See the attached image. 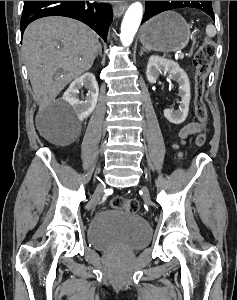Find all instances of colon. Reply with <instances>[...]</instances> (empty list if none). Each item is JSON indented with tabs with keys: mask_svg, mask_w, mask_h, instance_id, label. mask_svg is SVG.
<instances>
[{
	"mask_svg": "<svg viewBox=\"0 0 237 300\" xmlns=\"http://www.w3.org/2000/svg\"><path fill=\"white\" fill-rule=\"evenodd\" d=\"M216 54L215 43L210 38H205L194 56L195 74V112L201 124V131L195 139L197 147L204 145L206 141V123H207V107L204 102L205 85L207 77L210 73L211 65ZM112 206L129 213H136L139 210V203L135 199H127L117 196L112 200Z\"/></svg>",
	"mask_w": 237,
	"mask_h": 300,
	"instance_id": "5ec220e1",
	"label": "colon"
}]
</instances>
